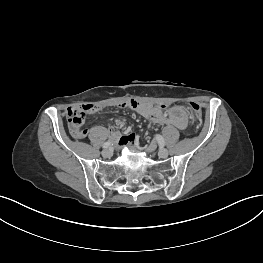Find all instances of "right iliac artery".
<instances>
[{
  "label": "right iliac artery",
  "instance_id": "right-iliac-artery-1",
  "mask_svg": "<svg viewBox=\"0 0 263 263\" xmlns=\"http://www.w3.org/2000/svg\"><path fill=\"white\" fill-rule=\"evenodd\" d=\"M111 146V142L110 141H107V142H105L104 144H103V148H108V147H110Z\"/></svg>",
  "mask_w": 263,
  "mask_h": 263
}]
</instances>
